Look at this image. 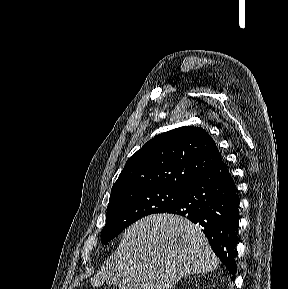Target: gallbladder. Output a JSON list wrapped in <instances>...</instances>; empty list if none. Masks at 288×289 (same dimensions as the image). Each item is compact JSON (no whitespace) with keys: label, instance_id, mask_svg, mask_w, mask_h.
<instances>
[{"label":"gallbladder","instance_id":"gallbladder-1","mask_svg":"<svg viewBox=\"0 0 288 289\" xmlns=\"http://www.w3.org/2000/svg\"><path fill=\"white\" fill-rule=\"evenodd\" d=\"M119 279H120V277H119V274L118 273H116L115 275H114V278H112L110 281H109V285H115V284H117L118 282H119Z\"/></svg>","mask_w":288,"mask_h":289}]
</instances>
